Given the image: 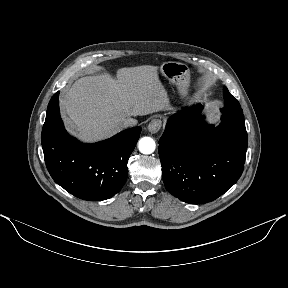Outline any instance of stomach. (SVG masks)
I'll return each instance as SVG.
<instances>
[{"label": "stomach", "mask_w": 288, "mask_h": 288, "mask_svg": "<svg viewBox=\"0 0 288 288\" xmlns=\"http://www.w3.org/2000/svg\"><path fill=\"white\" fill-rule=\"evenodd\" d=\"M161 73L178 88L179 95L184 98L189 92L190 69L184 63L169 61L161 66Z\"/></svg>", "instance_id": "stomach-1"}]
</instances>
